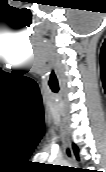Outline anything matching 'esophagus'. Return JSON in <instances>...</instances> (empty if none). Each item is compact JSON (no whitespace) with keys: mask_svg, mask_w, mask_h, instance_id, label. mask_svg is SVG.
I'll list each match as a JSON object with an SVG mask.
<instances>
[{"mask_svg":"<svg viewBox=\"0 0 106 172\" xmlns=\"http://www.w3.org/2000/svg\"><path fill=\"white\" fill-rule=\"evenodd\" d=\"M62 134L64 137V150H65L66 157L72 165H77L76 159L72 151L71 143H70L69 131L64 121L62 122Z\"/></svg>","mask_w":106,"mask_h":172,"instance_id":"1","label":"esophagus"}]
</instances>
